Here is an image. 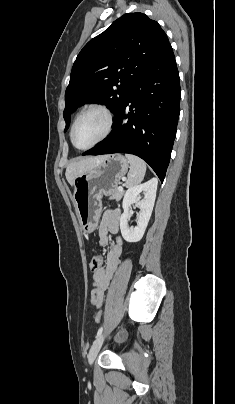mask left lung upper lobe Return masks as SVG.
Returning a JSON list of instances; mask_svg holds the SVG:
<instances>
[{"mask_svg": "<svg viewBox=\"0 0 235 404\" xmlns=\"http://www.w3.org/2000/svg\"><path fill=\"white\" fill-rule=\"evenodd\" d=\"M168 45L160 25L143 13L124 14L90 40L74 62L65 92V130L70 114L84 103H105L116 115L135 82Z\"/></svg>", "mask_w": 235, "mask_h": 404, "instance_id": "obj_1", "label": "left lung upper lobe"}]
</instances>
